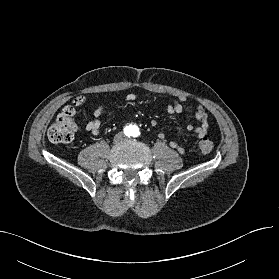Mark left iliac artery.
<instances>
[{
  "label": "left iliac artery",
  "mask_w": 279,
  "mask_h": 279,
  "mask_svg": "<svg viewBox=\"0 0 279 279\" xmlns=\"http://www.w3.org/2000/svg\"><path fill=\"white\" fill-rule=\"evenodd\" d=\"M140 135V132L138 129H135L134 132H133V136L134 137H138Z\"/></svg>",
  "instance_id": "44dca946"
}]
</instances>
